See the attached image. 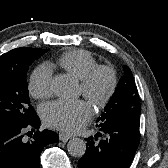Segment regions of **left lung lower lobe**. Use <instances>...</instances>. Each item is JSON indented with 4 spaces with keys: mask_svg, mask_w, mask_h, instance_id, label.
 Instances as JSON below:
<instances>
[{
    "mask_svg": "<svg viewBox=\"0 0 168 168\" xmlns=\"http://www.w3.org/2000/svg\"><path fill=\"white\" fill-rule=\"evenodd\" d=\"M140 117L129 114L109 116L98 121L95 137L86 138V152L79 168H128L140 142ZM102 134L103 139H99Z\"/></svg>",
    "mask_w": 168,
    "mask_h": 168,
    "instance_id": "left-lung-lower-lobe-1",
    "label": "left lung lower lobe"
}]
</instances>
